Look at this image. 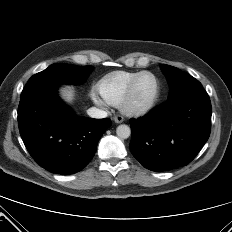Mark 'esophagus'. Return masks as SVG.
Masks as SVG:
<instances>
[{
    "mask_svg": "<svg viewBox=\"0 0 232 232\" xmlns=\"http://www.w3.org/2000/svg\"><path fill=\"white\" fill-rule=\"evenodd\" d=\"M113 120L115 121V123H122L124 121V118L120 115H116L113 117Z\"/></svg>",
    "mask_w": 232,
    "mask_h": 232,
    "instance_id": "1",
    "label": "esophagus"
}]
</instances>
